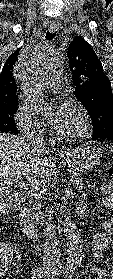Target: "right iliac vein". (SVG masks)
Returning <instances> with one entry per match:
<instances>
[{
	"label": "right iliac vein",
	"mask_w": 113,
	"mask_h": 279,
	"mask_svg": "<svg viewBox=\"0 0 113 279\" xmlns=\"http://www.w3.org/2000/svg\"><path fill=\"white\" fill-rule=\"evenodd\" d=\"M43 270H44V271H48L49 268H48V267H44Z\"/></svg>",
	"instance_id": "right-iliac-vein-1"
}]
</instances>
